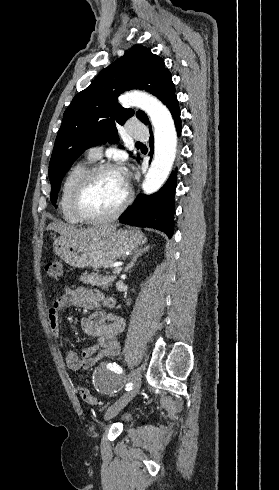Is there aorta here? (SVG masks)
I'll use <instances>...</instances> for the list:
<instances>
[{
    "instance_id": "aorta-1",
    "label": "aorta",
    "mask_w": 279,
    "mask_h": 490,
    "mask_svg": "<svg viewBox=\"0 0 279 490\" xmlns=\"http://www.w3.org/2000/svg\"><path fill=\"white\" fill-rule=\"evenodd\" d=\"M124 107H138L150 118L154 128V157L142 183L145 194L159 190L172 169L177 148L174 120L157 98L141 92L126 93L119 98Z\"/></svg>"
}]
</instances>
